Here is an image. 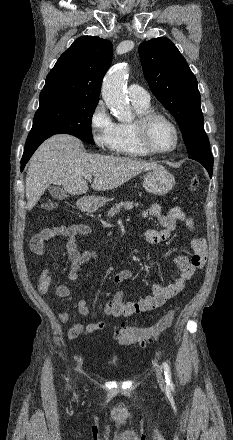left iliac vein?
<instances>
[{"instance_id": "1", "label": "left iliac vein", "mask_w": 233, "mask_h": 440, "mask_svg": "<svg viewBox=\"0 0 233 440\" xmlns=\"http://www.w3.org/2000/svg\"><path fill=\"white\" fill-rule=\"evenodd\" d=\"M156 378H157L159 386L161 387V389L164 390L165 389V380H164V377H163V374H162V371L160 368L156 369Z\"/></svg>"}]
</instances>
